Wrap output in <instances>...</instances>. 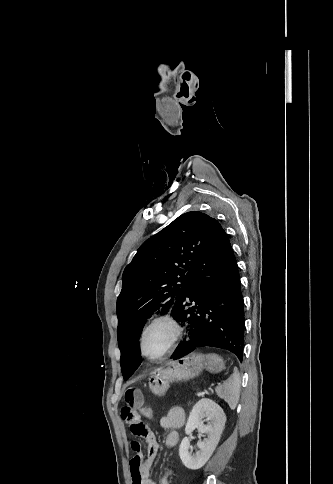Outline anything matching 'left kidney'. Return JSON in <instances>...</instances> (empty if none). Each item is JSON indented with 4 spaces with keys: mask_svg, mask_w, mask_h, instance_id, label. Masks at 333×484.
<instances>
[{
    "mask_svg": "<svg viewBox=\"0 0 333 484\" xmlns=\"http://www.w3.org/2000/svg\"><path fill=\"white\" fill-rule=\"evenodd\" d=\"M206 418L207 425L203 424L202 419ZM226 422L223 409L214 401L207 398L200 399L190 412L185 433L190 435L195 429L207 435L203 441H199L197 446L199 451L192 455L189 451V438L185 437L179 447V456L185 467L188 469H200L209 460L216 449Z\"/></svg>",
    "mask_w": 333,
    "mask_h": 484,
    "instance_id": "left-kidney-1",
    "label": "left kidney"
}]
</instances>
